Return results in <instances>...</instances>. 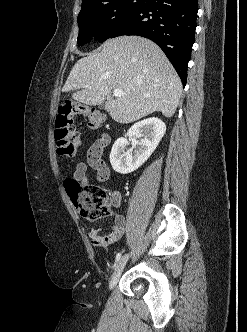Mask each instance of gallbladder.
<instances>
[{"label": "gallbladder", "mask_w": 247, "mask_h": 332, "mask_svg": "<svg viewBox=\"0 0 247 332\" xmlns=\"http://www.w3.org/2000/svg\"><path fill=\"white\" fill-rule=\"evenodd\" d=\"M100 109H105V102L103 101L100 105H99Z\"/></svg>", "instance_id": "obj_1"}]
</instances>
